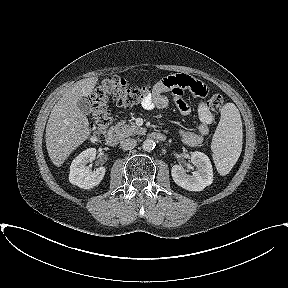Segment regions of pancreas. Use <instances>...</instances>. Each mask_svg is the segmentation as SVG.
<instances>
[{
	"label": "pancreas",
	"instance_id": "pancreas-1",
	"mask_svg": "<svg viewBox=\"0 0 288 288\" xmlns=\"http://www.w3.org/2000/svg\"><path fill=\"white\" fill-rule=\"evenodd\" d=\"M115 132L121 137H128L135 134H142L145 132V129L137 126L133 122L127 124L122 120L115 125Z\"/></svg>",
	"mask_w": 288,
	"mask_h": 288
}]
</instances>
